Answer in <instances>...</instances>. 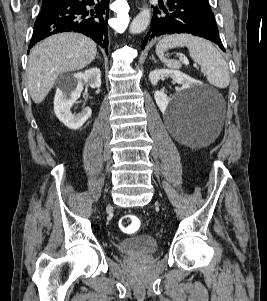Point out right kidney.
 Instances as JSON below:
<instances>
[{"label":"right kidney","mask_w":267,"mask_h":301,"mask_svg":"<svg viewBox=\"0 0 267 301\" xmlns=\"http://www.w3.org/2000/svg\"><path fill=\"white\" fill-rule=\"evenodd\" d=\"M84 85L99 88L101 86V71L94 67L84 72L75 73L69 83L60 85L56 90L54 112L57 118L69 129L81 128L92 114L88 107L77 115L71 113V108L80 97Z\"/></svg>","instance_id":"ca27d5eb"}]
</instances>
